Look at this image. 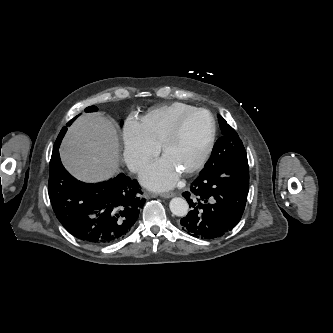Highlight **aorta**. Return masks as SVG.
<instances>
[{"label":"aorta","mask_w":333,"mask_h":333,"mask_svg":"<svg viewBox=\"0 0 333 333\" xmlns=\"http://www.w3.org/2000/svg\"><path fill=\"white\" fill-rule=\"evenodd\" d=\"M169 207H170L171 212L174 215L179 216V217L186 216L188 213V209H189V206H188V203L186 202V200H184L183 198H179V197L173 198L170 201Z\"/></svg>","instance_id":"1"}]
</instances>
